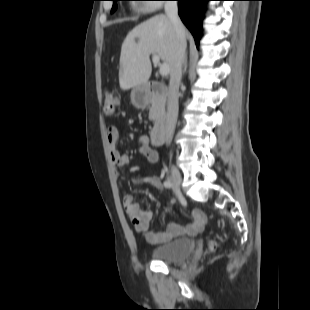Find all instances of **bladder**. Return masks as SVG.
Returning <instances> with one entry per match:
<instances>
[{"instance_id": "obj_1", "label": "bladder", "mask_w": 310, "mask_h": 310, "mask_svg": "<svg viewBox=\"0 0 310 310\" xmlns=\"http://www.w3.org/2000/svg\"><path fill=\"white\" fill-rule=\"evenodd\" d=\"M194 250V240L181 238L153 248L150 255L155 261L176 263L188 259Z\"/></svg>"}]
</instances>
